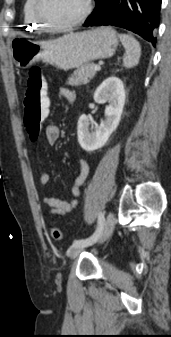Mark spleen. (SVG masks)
I'll list each match as a JSON object with an SVG mask.
<instances>
[{
	"instance_id": "3e777b00",
	"label": "spleen",
	"mask_w": 171,
	"mask_h": 337,
	"mask_svg": "<svg viewBox=\"0 0 171 337\" xmlns=\"http://www.w3.org/2000/svg\"><path fill=\"white\" fill-rule=\"evenodd\" d=\"M120 41L125 48L123 65L126 68H132L139 63L141 56V46L139 42L131 35L120 34Z\"/></svg>"
}]
</instances>
